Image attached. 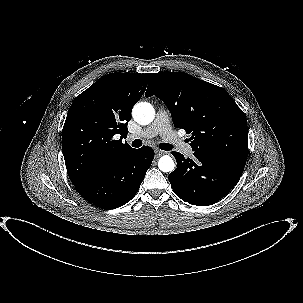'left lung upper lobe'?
Returning a JSON list of instances; mask_svg holds the SVG:
<instances>
[{
  "mask_svg": "<svg viewBox=\"0 0 303 303\" xmlns=\"http://www.w3.org/2000/svg\"><path fill=\"white\" fill-rule=\"evenodd\" d=\"M145 95L159 97L175 126L192 134L194 152L248 156L246 117L223 88L184 72L157 73Z\"/></svg>",
  "mask_w": 303,
  "mask_h": 303,
  "instance_id": "1",
  "label": "left lung upper lobe"
}]
</instances>
